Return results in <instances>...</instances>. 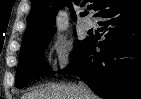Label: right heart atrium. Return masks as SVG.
Wrapping results in <instances>:
<instances>
[{
	"label": "right heart atrium",
	"mask_w": 141,
	"mask_h": 99,
	"mask_svg": "<svg viewBox=\"0 0 141 99\" xmlns=\"http://www.w3.org/2000/svg\"><path fill=\"white\" fill-rule=\"evenodd\" d=\"M55 64L60 72H66L72 65L75 58V48L71 41L65 38H58L53 44Z\"/></svg>",
	"instance_id": "1"
}]
</instances>
